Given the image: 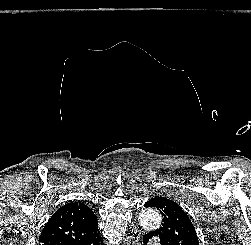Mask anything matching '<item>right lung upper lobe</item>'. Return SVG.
Here are the masks:
<instances>
[{
	"mask_svg": "<svg viewBox=\"0 0 251 245\" xmlns=\"http://www.w3.org/2000/svg\"><path fill=\"white\" fill-rule=\"evenodd\" d=\"M97 217L82 202L60 207L48 220L39 237V245H73L98 237Z\"/></svg>",
	"mask_w": 251,
	"mask_h": 245,
	"instance_id": "obj_1",
	"label": "right lung upper lobe"
}]
</instances>
